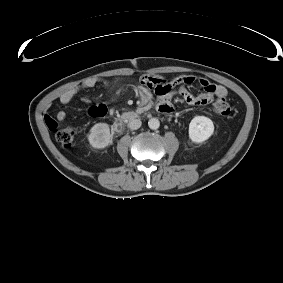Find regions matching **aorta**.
Segmentation results:
<instances>
[{
  "instance_id": "obj_1",
  "label": "aorta",
  "mask_w": 283,
  "mask_h": 283,
  "mask_svg": "<svg viewBox=\"0 0 283 283\" xmlns=\"http://www.w3.org/2000/svg\"><path fill=\"white\" fill-rule=\"evenodd\" d=\"M148 126L152 130H157L160 126V122L157 118H151L148 121Z\"/></svg>"
}]
</instances>
